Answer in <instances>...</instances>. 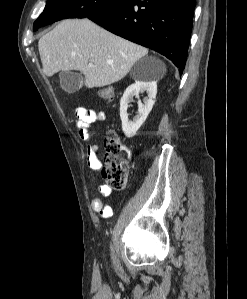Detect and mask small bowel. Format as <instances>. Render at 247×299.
<instances>
[{"instance_id":"obj_1","label":"small bowel","mask_w":247,"mask_h":299,"mask_svg":"<svg viewBox=\"0 0 247 299\" xmlns=\"http://www.w3.org/2000/svg\"><path fill=\"white\" fill-rule=\"evenodd\" d=\"M76 127L82 140L90 143L86 151V160L88 166L98 171L101 168V162L98 157L99 146L92 142L91 130L95 123L105 120V114L103 112L95 111L94 109H87L84 107H78L76 109ZM99 195L92 200V208L95 212L100 214L103 218H109L113 214V209L110 205L103 202L102 197L109 196L111 189L105 184L98 186Z\"/></svg>"}]
</instances>
